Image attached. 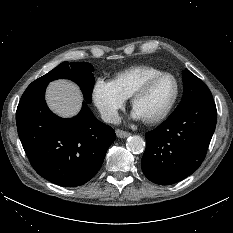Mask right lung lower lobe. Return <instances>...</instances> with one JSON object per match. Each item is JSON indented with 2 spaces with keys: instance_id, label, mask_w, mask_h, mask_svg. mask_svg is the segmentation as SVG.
<instances>
[{
  "instance_id": "right-lung-lower-lobe-1",
  "label": "right lung lower lobe",
  "mask_w": 233,
  "mask_h": 233,
  "mask_svg": "<svg viewBox=\"0 0 233 233\" xmlns=\"http://www.w3.org/2000/svg\"><path fill=\"white\" fill-rule=\"evenodd\" d=\"M47 85L32 82L22 95L16 111L18 135L39 175L60 186L76 187L95 176L116 134L85 102L74 118L56 116L44 100Z\"/></svg>"
}]
</instances>
